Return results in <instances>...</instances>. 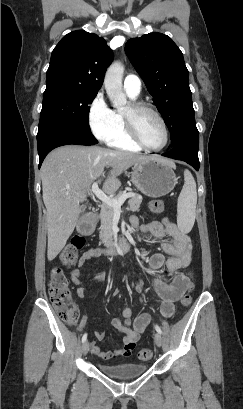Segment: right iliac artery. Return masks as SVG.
Returning <instances> with one entry per match:
<instances>
[{"label": "right iliac artery", "mask_w": 243, "mask_h": 409, "mask_svg": "<svg viewBox=\"0 0 243 409\" xmlns=\"http://www.w3.org/2000/svg\"><path fill=\"white\" fill-rule=\"evenodd\" d=\"M86 339H87V334L85 333V334L83 335V337H82V343H84V342L86 341Z\"/></svg>", "instance_id": "obj_1"}]
</instances>
